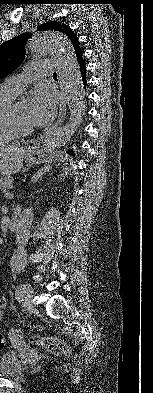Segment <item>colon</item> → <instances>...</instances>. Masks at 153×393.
Returning a JSON list of instances; mask_svg holds the SVG:
<instances>
[{"label":"colon","instance_id":"colon-1","mask_svg":"<svg viewBox=\"0 0 153 393\" xmlns=\"http://www.w3.org/2000/svg\"><path fill=\"white\" fill-rule=\"evenodd\" d=\"M30 343L35 346H40L54 355H65L70 353V347L58 338L33 335L30 338ZM5 345L6 339L0 333V351L4 349Z\"/></svg>","mask_w":153,"mask_h":393}]
</instances>
